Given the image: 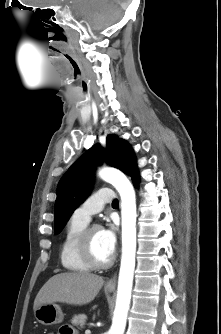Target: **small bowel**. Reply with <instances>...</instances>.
Masks as SVG:
<instances>
[{"label":"small bowel","instance_id":"obj_1","mask_svg":"<svg viewBox=\"0 0 221 334\" xmlns=\"http://www.w3.org/2000/svg\"><path fill=\"white\" fill-rule=\"evenodd\" d=\"M60 334H74L73 330L67 327L62 328Z\"/></svg>","mask_w":221,"mask_h":334}]
</instances>
